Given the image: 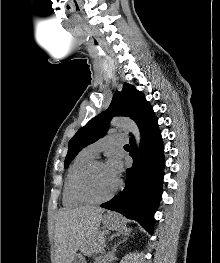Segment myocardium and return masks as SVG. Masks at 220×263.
Here are the masks:
<instances>
[{"label": "myocardium", "mask_w": 220, "mask_h": 263, "mask_svg": "<svg viewBox=\"0 0 220 263\" xmlns=\"http://www.w3.org/2000/svg\"><path fill=\"white\" fill-rule=\"evenodd\" d=\"M99 164H103V162L100 160H92L82 168L75 180L74 191L76 196L87 203H103L108 201L118 192L121 186V182L118 180L116 186L107 195L103 197H95L91 195L86 188V180L93 168Z\"/></svg>", "instance_id": "f54148a6"}]
</instances>
